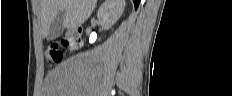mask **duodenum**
<instances>
[{"label":"duodenum","instance_id":"obj_1","mask_svg":"<svg viewBox=\"0 0 232 96\" xmlns=\"http://www.w3.org/2000/svg\"><path fill=\"white\" fill-rule=\"evenodd\" d=\"M81 35L82 29L81 27L69 29L66 33L67 39L70 42L71 50L74 52L79 49L81 44Z\"/></svg>","mask_w":232,"mask_h":96}]
</instances>
